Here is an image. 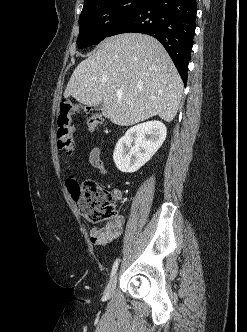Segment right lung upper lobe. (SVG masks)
Returning <instances> with one entry per match:
<instances>
[{"instance_id":"cb5924a9","label":"right lung upper lobe","mask_w":247,"mask_h":332,"mask_svg":"<svg viewBox=\"0 0 247 332\" xmlns=\"http://www.w3.org/2000/svg\"><path fill=\"white\" fill-rule=\"evenodd\" d=\"M98 1H100V0H85L83 9L87 8L88 6L93 5L94 3L98 2Z\"/></svg>"}]
</instances>
